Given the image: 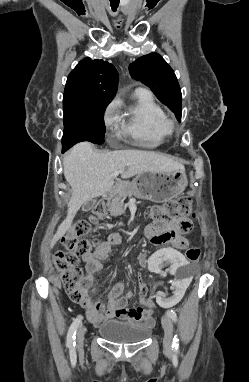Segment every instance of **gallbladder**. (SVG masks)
Returning <instances> with one entry per match:
<instances>
[{
  "instance_id": "1",
  "label": "gallbladder",
  "mask_w": 249,
  "mask_h": 382,
  "mask_svg": "<svg viewBox=\"0 0 249 382\" xmlns=\"http://www.w3.org/2000/svg\"><path fill=\"white\" fill-rule=\"evenodd\" d=\"M94 205H95V200L90 199L82 205V211L84 212L90 211L91 209H93Z\"/></svg>"
}]
</instances>
